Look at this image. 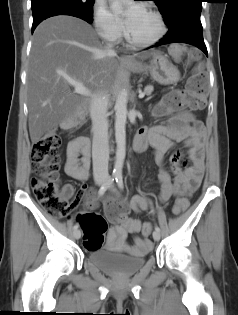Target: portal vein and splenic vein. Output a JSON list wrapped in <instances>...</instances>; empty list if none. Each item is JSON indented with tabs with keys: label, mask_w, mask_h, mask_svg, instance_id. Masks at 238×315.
<instances>
[{
	"label": "portal vein and splenic vein",
	"mask_w": 238,
	"mask_h": 315,
	"mask_svg": "<svg viewBox=\"0 0 238 315\" xmlns=\"http://www.w3.org/2000/svg\"><path fill=\"white\" fill-rule=\"evenodd\" d=\"M67 81L70 85H72L74 87L75 93L80 94V95H84V96H90L91 95V92L83 85V83L75 81L73 79H67ZM144 95L145 94L143 92L139 93V98H143Z\"/></svg>",
	"instance_id": "18ae733b"
}]
</instances>
